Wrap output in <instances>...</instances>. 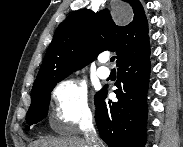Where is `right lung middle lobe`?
<instances>
[{
    "label": "right lung middle lobe",
    "mask_w": 183,
    "mask_h": 147,
    "mask_svg": "<svg viewBox=\"0 0 183 147\" xmlns=\"http://www.w3.org/2000/svg\"><path fill=\"white\" fill-rule=\"evenodd\" d=\"M64 78L55 80L46 87L31 92V105L26 115V122L32 125L40 122L47 116L50 101V93L56 84ZM29 128V126H27Z\"/></svg>",
    "instance_id": "dd1d6c3e"
}]
</instances>
